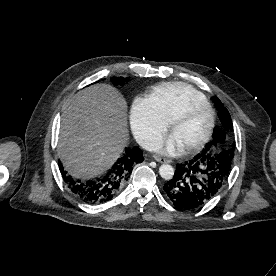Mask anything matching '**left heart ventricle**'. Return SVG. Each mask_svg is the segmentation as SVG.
Wrapping results in <instances>:
<instances>
[{
	"instance_id": "1",
	"label": "left heart ventricle",
	"mask_w": 276,
	"mask_h": 276,
	"mask_svg": "<svg viewBox=\"0 0 276 276\" xmlns=\"http://www.w3.org/2000/svg\"><path fill=\"white\" fill-rule=\"evenodd\" d=\"M209 121V110L203 104H199L175 126L173 134L179 138L186 148L202 138L208 128Z\"/></svg>"
}]
</instances>
